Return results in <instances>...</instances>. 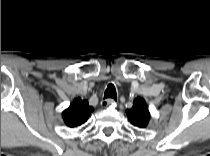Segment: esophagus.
<instances>
[{
	"label": "esophagus",
	"instance_id": "obj_1",
	"mask_svg": "<svg viewBox=\"0 0 210 156\" xmlns=\"http://www.w3.org/2000/svg\"><path fill=\"white\" fill-rule=\"evenodd\" d=\"M114 102L115 101L113 99L108 98V99H105V100L101 101V106L102 107H107L108 105L114 104Z\"/></svg>",
	"mask_w": 210,
	"mask_h": 156
}]
</instances>
